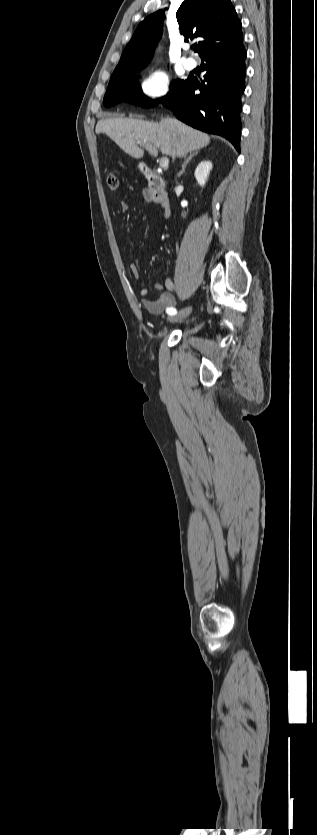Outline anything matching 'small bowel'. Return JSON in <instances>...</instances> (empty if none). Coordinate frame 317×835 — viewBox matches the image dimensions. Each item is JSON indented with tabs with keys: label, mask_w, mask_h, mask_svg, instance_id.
Wrapping results in <instances>:
<instances>
[{
	"label": "small bowel",
	"mask_w": 317,
	"mask_h": 835,
	"mask_svg": "<svg viewBox=\"0 0 317 835\" xmlns=\"http://www.w3.org/2000/svg\"><path fill=\"white\" fill-rule=\"evenodd\" d=\"M147 193L144 192L141 196V200H146ZM120 209L122 212H127L129 210V204L127 201H121ZM130 271L135 279L139 278V266L137 263H131ZM154 289L159 291L160 294L155 299H146L145 296L148 294V288L146 286H141L139 288V295L143 298L142 305L145 310L153 315H158L163 311H167L169 308H174L175 299L173 292L175 290V284L170 277H167L164 282H156L154 284Z\"/></svg>",
	"instance_id": "1"
}]
</instances>
